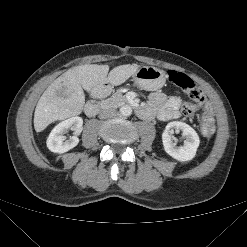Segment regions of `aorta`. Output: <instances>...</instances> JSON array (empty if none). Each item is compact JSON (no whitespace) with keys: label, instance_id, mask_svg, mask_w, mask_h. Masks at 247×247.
Listing matches in <instances>:
<instances>
[{"label":"aorta","instance_id":"762f6f07","mask_svg":"<svg viewBox=\"0 0 247 247\" xmlns=\"http://www.w3.org/2000/svg\"><path fill=\"white\" fill-rule=\"evenodd\" d=\"M119 111L121 115L126 117L132 114V108L129 105H123Z\"/></svg>","mask_w":247,"mask_h":247}]
</instances>
